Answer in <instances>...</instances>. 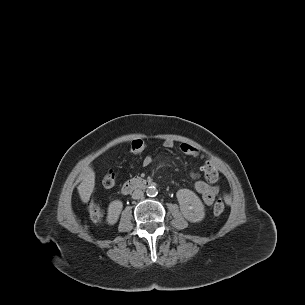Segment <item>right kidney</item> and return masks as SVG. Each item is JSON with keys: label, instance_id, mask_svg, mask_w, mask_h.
<instances>
[{"label": "right kidney", "instance_id": "right-kidney-1", "mask_svg": "<svg viewBox=\"0 0 305 305\" xmlns=\"http://www.w3.org/2000/svg\"><path fill=\"white\" fill-rule=\"evenodd\" d=\"M122 208H123V203L120 200H114L109 204L107 211L108 224L114 225L118 221Z\"/></svg>", "mask_w": 305, "mask_h": 305}]
</instances>
